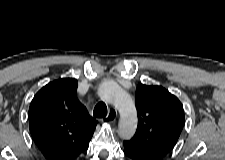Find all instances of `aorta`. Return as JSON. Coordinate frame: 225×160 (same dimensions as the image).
I'll return each instance as SVG.
<instances>
[{
    "label": "aorta",
    "mask_w": 225,
    "mask_h": 160,
    "mask_svg": "<svg viewBox=\"0 0 225 160\" xmlns=\"http://www.w3.org/2000/svg\"><path fill=\"white\" fill-rule=\"evenodd\" d=\"M98 96L113 104L120 115L118 133L123 139H130L137 127V112L132 98L115 82H104L98 88Z\"/></svg>",
    "instance_id": "obj_1"
}]
</instances>
